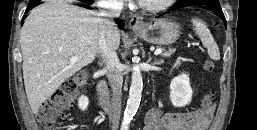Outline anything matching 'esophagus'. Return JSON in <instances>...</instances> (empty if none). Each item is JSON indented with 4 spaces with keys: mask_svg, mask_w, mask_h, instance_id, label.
Masks as SVG:
<instances>
[{
    "mask_svg": "<svg viewBox=\"0 0 257 130\" xmlns=\"http://www.w3.org/2000/svg\"><path fill=\"white\" fill-rule=\"evenodd\" d=\"M129 25L132 29L142 28L144 26L143 18L138 15H133V16H131Z\"/></svg>",
    "mask_w": 257,
    "mask_h": 130,
    "instance_id": "obj_1",
    "label": "esophagus"
}]
</instances>
